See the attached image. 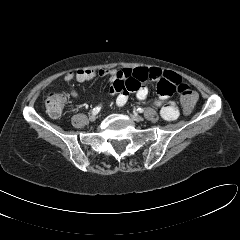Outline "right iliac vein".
Returning a JSON list of instances; mask_svg holds the SVG:
<instances>
[{"label":"right iliac vein","instance_id":"63e3f726","mask_svg":"<svg viewBox=\"0 0 240 240\" xmlns=\"http://www.w3.org/2000/svg\"><path fill=\"white\" fill-rule=\"evenodd\" d=\"M89 120L92 121V122L95 121L96 120V116L94 114H91L89 116Z\"/></svg>","mask_w":240,"mask_h":240}]
</instances>
